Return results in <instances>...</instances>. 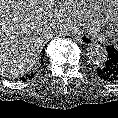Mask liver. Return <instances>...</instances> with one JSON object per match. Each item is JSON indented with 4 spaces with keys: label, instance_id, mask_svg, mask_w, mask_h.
Segmentation results:
<instances>
[{
    "label": "liver",
    "instance_id": "1",
    "mask_svg": "<svg viewBox=\"0 0 118 118\" xmlns=\"http://www.w3.org/2000/svg\"><path fill=\"white\" fill-rule=\"evenodd\" d=\"M69 2L0 0V75L17 78L37 63L44 45L69 12Z\"/></svg>",
    "mask_w": 118,
    "mask_h": 118
}]
</instances>
